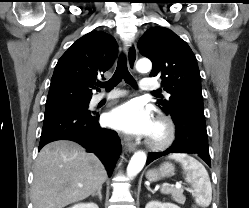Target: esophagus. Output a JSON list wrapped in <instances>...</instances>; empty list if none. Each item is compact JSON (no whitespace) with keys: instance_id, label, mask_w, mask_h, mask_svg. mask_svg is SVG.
<instances>
[{"instance_id":"obj_1","label":"esophagus","mask_w":249,"mask_h":208,"mask_svg":"<svg viewBox=\"0 0 249 208\" xmlns=\"http://www.w3.org/2000/svg\"><path fill=\"white\" fill-rule=\"evenodd\" d=\"M126 54H127L128 66L130 70L134 71L135 65L138 59V50H137L135 43L132 42L129 45H127ZM124 146L129 152L135 151L136 149L135 143L131 141V139L128 137L124 138Z\"/></svg>"}]
</instances>
